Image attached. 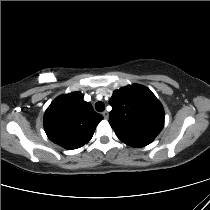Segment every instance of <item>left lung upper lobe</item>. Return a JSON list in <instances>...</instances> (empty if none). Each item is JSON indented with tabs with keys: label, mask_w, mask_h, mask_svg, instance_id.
<instances>
[{
	"label": "left lung upper lobe",
	"mask_w": 210,
	"mask_h": 210,
	"mask_svg": "<svg viewBox=\"0 0 210 210\" xmlns=\"http://www.w3.org/2000/svg\"><path fill=\"white\" fill-rule=\"evenodd\" d=\"M110 104L109 123L117 137L129 146L148 145L164 126L162 104L142 85L133 84L115 90Z\"/></svg>",
	"instance_id": "obj_1"
}]
</instances>
